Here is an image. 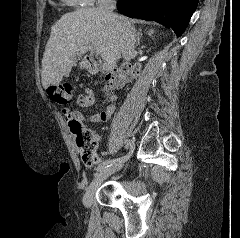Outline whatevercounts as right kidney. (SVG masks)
I'll list each match as a JSON object with an SVG mask.
<instances>
[{
  "label": "right kidney",
  "instance_id": "right-kidney-1",
  "mask_svg": "<svg viewBox=\"0 0 240 238\" xmlns=\"http://www.w3.org/2000/svg\"><path fill=\"white\" fill-rule=\"evenodd\" d=\"M153 33H154V31H153V30H150L149 33H148V35H149V36H152Z\"/></svg>",
  "mask_w": 240,
  "mask_h": 238
}]
</instances>
